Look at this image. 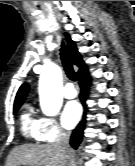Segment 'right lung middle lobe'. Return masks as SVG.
Here are the masks:
<instances>
[{
	"instance_id": "obj_1",
	"label": "right lung middle lobe",
	"mask_w": 135,
	"mask_h": 166,
	"mask_svg": "<svg viewBox=\"0 0 135 166\" xmlns=\"http://www.w3.org/2000/svg\"><path fill=\"white\" fill-rule=\"evenodd\" d=\"M20 106L14 107L13 113L16 114V112L19 110Z\"/></svg>"
}]
</instances>
